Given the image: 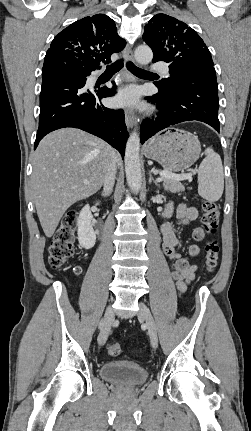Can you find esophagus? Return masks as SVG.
Masks as SVG:
<instances>
[{
  "mask_svg": "<svg viewBox=\"0 0 251 431\" xmlns=\"http://www.w3.org/2000/svg\"><path fill=\"white\" fill-rule=\"evenodd\" d=\"M124 53H125V59L127 62H134L133 50L129 45L125 47ZM125 122L128 128H133L138 123V120L134 115V112L130 109L125 110Z\"/></svg>",
  "mask_w": 251,
  "mask_h": 431,
  "instance_id": "1",
  "label": "esophagus"
}]
</instances>
